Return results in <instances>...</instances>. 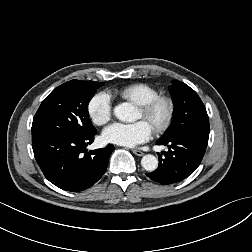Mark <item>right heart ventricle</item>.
I'll return each mask as SVG.
<instances>
[{
  "mask_svg": "<svg viewBox=\"0 0 252 252\" xmlns=\"http://www.w3.org/2000/svg\"><path fill=\"white\" fill-rule=\"evenodd\" d=\"M117 94L135 105L141 106L157 97L158 91L148 84L136 83L123 87L117 91Z\"/></svg>",
  "mask_w": 252,
  "mask_h": 252,
  "instance_id": "1",
  "label": "right heart ventricle"
}]
</instances>
